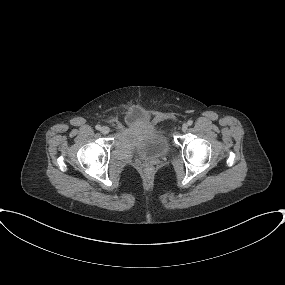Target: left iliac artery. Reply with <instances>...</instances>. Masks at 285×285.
<instances>
[{"mask_svg":"<svg viewBox=\"0 0 285 285\" xmlns=\"http://www.w3.org/2000/svg\"><path fill=\"white\" fill-rule=\"evenodd\" d=\"M187 124L191 126L193 124V121L192 120H188Z\"/></svg>","mask_w":285,"mask_h":285,"instance_id":"44dca946","label":"left iliac artery"}]
</instances>
